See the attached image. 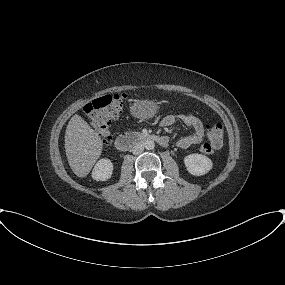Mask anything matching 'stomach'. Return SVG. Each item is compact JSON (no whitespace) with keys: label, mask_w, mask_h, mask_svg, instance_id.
I'll return each instance as SVG.
<instances>
[{"label":"stomach","mask_w":285,"mask_h":285,"mask_svg":"<svg viewBox=\"0 0 285 285\" xmlns=\"http://www.w3.org/2000/svg\"><path fill=\"white\" fill-rule=\"evenodd\" d=\"M159 109L158 104L151 100H142L135 102L131 107V112L138 118H150L154 116Z\"/></svg>","instance_id":"obj_1"}]
</instances>
